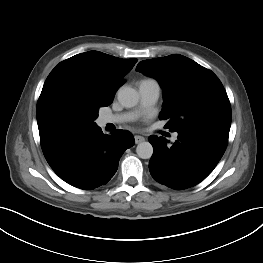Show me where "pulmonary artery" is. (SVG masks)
Segmentation results:
<instances>
[{
    "mask_svg": "<svg viewBox=\"0 0 263 263\" xmlns=\"http://www.w3.org/2000/svg\"><path fill=\"white\" fill-rule=\"evenodd\" d=\"M138 94L140 102L136 110L129 113L103 115L100 118L101 124H116L129 121L136 117L141 111L153 106L160 96V85L154 79H143L138 83Z\"/></svg>",
    "mask_w": 263,
    "mask_h": 263,
    "instance_id": "pulmonary-artery-1",
    "label": "pulmonary artery"
}]
</instances>
